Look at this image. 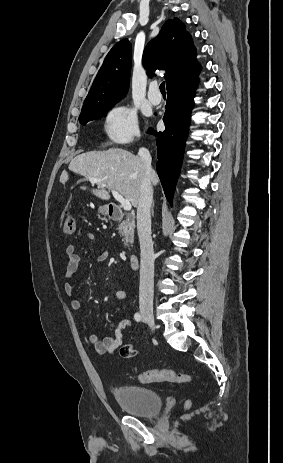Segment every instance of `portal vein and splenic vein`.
<instances>
[{
    "instance_id": "portal-vein-and-splenic-vein-1",
    "label": "portal vein and splenic vein",
    "mask_w": 283,
    "mask_h": 463,
    "mask_svg": "<svg viewBox=\"0 0 283 463\" xmlns=\"http://www.w3.org/2000/svg\"><path fill=\"white\" fill-rule=\"evenodd\" d=\"M89 180H90V182H91L92 184H94V183H102V184H103L102 180L97 179V178H90ZM103 185H104V184H103ZM112 194H113L114 198H115L118 202H120V204H121V206H122V208H123L124 210H126V211L131 210L132 206H131V203H130L129 200L125 199L119 192H117V191H115V190H112Z\"/></svg>"
}]
</instances>
